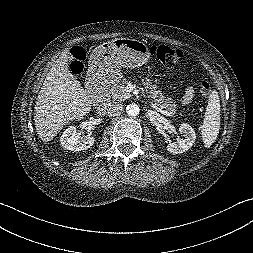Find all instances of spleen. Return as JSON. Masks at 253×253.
Returning <instances> with one entry per match:
<instances>
[{"label": "spleen", "instance_id": "1", "mask_svg": "<svg viewBox=\"0 0 253 253\" xmlns=\"http://www.w3.org/2000/svg\"><path fill=\"white\" fill-rule=\"evenodd\" d=\"M220 130V100L217 91L209 95L208 105L201 127L204 147L209 148L217 139Z\"/></svg>", "mask_w": 253, "mask_h": 253}]
</instances>
